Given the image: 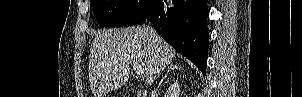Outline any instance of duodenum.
I'll return each mask as SVG.
<instances>
[{"label":"duodenum","instance_id":"duodenum-1","mask_svg":"<svg viewBox=\"0 0 302 97\" xmlns=\"http://www.w3.org/2000/svg\"><path fill=\"white\" fill-rule=\"evenodd\" d=\"M146 96L147 95H146V93L143 90L138 91L137 95H136V97H146Z\"/></svg>","mask_w":302,"mask_h":97}]
</instances>
